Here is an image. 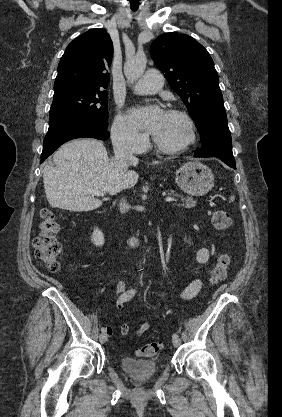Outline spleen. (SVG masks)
<instances>
[{"label":"spleen","mask_w":282,"mask_h":417,"mask_svg":"<svg viewBox=\"0 0 282 417\" xmlns=\"http://www.w3.org/2000/svg\"><path fill=\"white\" fill-rule=\"evenodd\" d=\"M235 196H230V200L232 202V200H234Z\"/></svg>","instance_id":"spleen-1"}]
</instances>
